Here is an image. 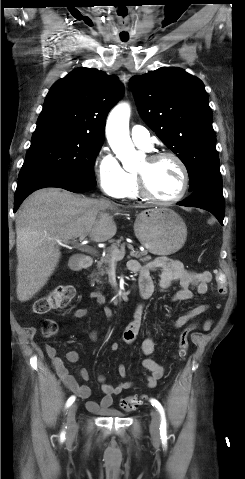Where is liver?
I'll list each match as a JSON object with an SVG mask.
<instances>
[{
  "instance_id": "1",
  "label": "liver",
  "mask_w": 245,
  "mask_h": 479,
  "mask_svg": "<svg viewBox=\"0 0 245 479\" xmlns=\"http://www.w3.org/2000/svg\"><path fill=\"white\" fill-rule=\"evenodd\" d=\"M115 209L109 200L82 198L58 188L29 196L16 218L18 300L28 301L47 283L61 257L58 241L111 239L117 227L106 211Z\"/></svg>"
}]
</instances>
